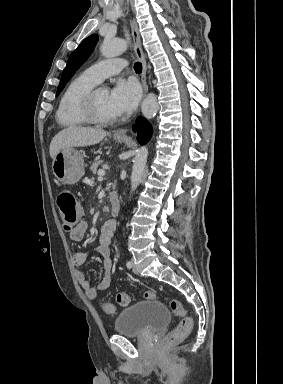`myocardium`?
Segmentation results:
<instances>
[{
  "mask_svg": "<svg viewBox=\"0 0 283 384\" xmlns=\"http://www.w3.org/2000/svg\"><path fill=\"white\" fill-rule=\"evenodd\" d=\"M99 87L90 89L79 101L78 114L88 124L96 126H109L117 122V119H104L99 116L95 104V94Z\"/></svg>",
  "mask_w": 283,
  "mask_h": 384,
  "instance_id": "myocardium-1",
  "label": "myocardium"
}]
</instances>
